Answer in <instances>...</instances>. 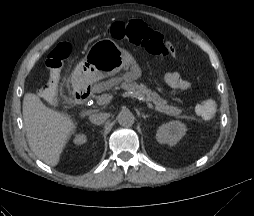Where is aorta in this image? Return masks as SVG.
I'll list each match as a JSON object with an SVG mask.
<instances>
[{"label":"aorta","mask_w":254,"mask_h":216,"mask_svg":"<svg viewBox=\"0 0 254 216\" xmlns=\"http://www.w3.org/2000/svg\"><path fill=\"white\" fill-rule=\"evenodd\" d=\"M117 120L121 126L130 127L134 124L135 117L129 110H122L118 114Z\"/></svg>","instance_id":"obj_1"}]
</instances>
